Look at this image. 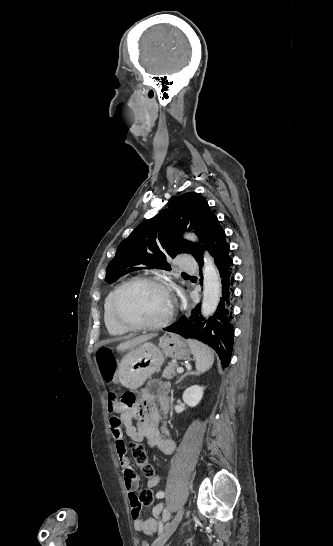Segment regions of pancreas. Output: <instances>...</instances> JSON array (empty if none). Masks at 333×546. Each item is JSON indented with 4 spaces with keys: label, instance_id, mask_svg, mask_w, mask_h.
<instances>
[{
    "label": "pancreas",
    "instance_id": "obj_1",
    "mask_svg": "<svg viewBox=\"0 0 333 546\" xmlns=\"http://www.w3.org/2000/svg\"><path fill=\"white\" fill-rule=\"evenodd\" d=\"M176 368H177V364L173 362L168 363V366H166V368L163 371V376L168 379H172L173 377L176 376V372H175Z\"/></svg>",
    "mask_w": 333,
    "mask_h": 546
}]
</instances>
